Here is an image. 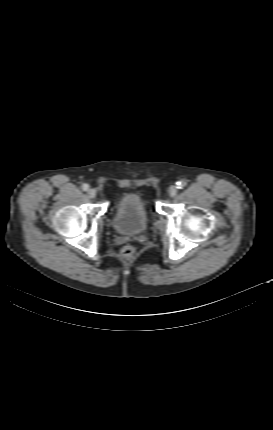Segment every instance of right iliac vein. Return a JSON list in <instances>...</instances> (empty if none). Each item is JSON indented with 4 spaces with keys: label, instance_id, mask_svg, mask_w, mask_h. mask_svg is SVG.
<instances>
[{
    "label": "right iliac vein",
    "instance_id": "63e3f726",
    "mask_svg": "<svg viewBox=\"0 0 273 430\" xmlns=\"http://www.w3.org/2000/svg\"><path fill=\"white\" fill-rule=\"evenodd\" d=\"M87 195H88V197L89 198H94L95 196H96V190L95 189H89L88 191H87Z\"/></svg>",
    "mask_w": 273,
    "mask_h": 430
}]
</instances>
